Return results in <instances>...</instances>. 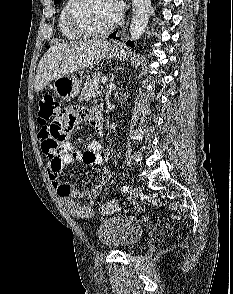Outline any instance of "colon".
Listing matches in <instances>:
<instances>
[{
    "instance_id": "5ec220e1",
    "label": "colon",
    "mask_w": 233,
    "mask_h": 294,
    "mask_svg": "<svg viewBox=\"0 0 233 294\" xmlns=\"http://www.w3.org/2000/svg\"><path fill=\"white\" fill-rule=\"evenodd\" d=\"M60 108L59 103L51 95L43 96L39 101V111L37 115L39 124L48 126L49 121L53 120V117H56V115H52V110H60ZM117 210L118 204L115 200L104 202L99 207V212L102 215L111 214Z\"/></svg>"
}]
</instances>
